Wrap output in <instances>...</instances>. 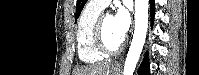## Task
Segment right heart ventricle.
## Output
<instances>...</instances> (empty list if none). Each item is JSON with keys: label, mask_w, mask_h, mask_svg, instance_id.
I'll list each match as a JSON object with an SVG mask.
<instances>
[{"label": "right heart ventricle", "mask_w": 199, "mask_h": 75, "mask_svg": "<svg viewBox=\"0 0 199 75\" xmlns=\"http://www.w3.org/2000/svg\"><path fill=\"white\" fill-rule=\"evenodd\" d=\"M101 8L88 4L81 13L77 29L76 43L80 60L87 64L98 63L105 57L95 46L93 40V29Z\"/></svg>", "instance_id": "obj_1"}]
</instances>
